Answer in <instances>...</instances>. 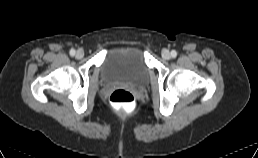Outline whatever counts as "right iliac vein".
I'll list each match as a JSON object with an SVG mask.
<instances>
[{
    "label": "right iliac vein",
    "mask_w": 258,
    "mask_h": 158,
    "mask_svg": "<svg viewBox=\"0 0 258 158\" xmlns=\"http://www.w3.org/2000/svg\"><path fill=\"white\" fill-rule=\"evenodd\" d=\"M84 56V51L82 49H78L76 52V58L81 59Z\"/></svg>",
    "instance_id": "obj_1"
}]
</instances>
